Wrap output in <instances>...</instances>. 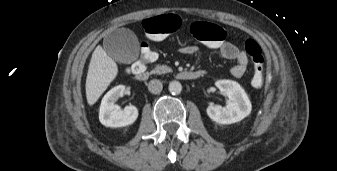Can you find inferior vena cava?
I'll use <instances>...</instances> for the list:
<instances>
[{
    "instance_id": "602c4592",
    "label": "inferior vena cava",
    "mask_w": 337,
    "mask_h": 171,
    "mask_svg": "<svg viewBox=\"0 0 337 171\" xmlns=\"http://www.w3.org/2000/svg\"><path fill=\"white\" fill-rule=\"evenodd\" d=\"M163 85L160 80L153 79L148 84V90L153 94H158L162 91Z\"/></svg>"
}]
</instances>
